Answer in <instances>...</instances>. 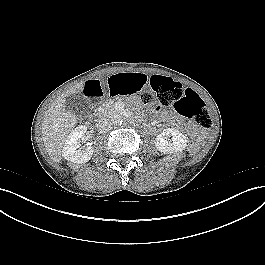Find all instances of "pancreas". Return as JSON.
<instances>
[{
    "label": "pancreas",
    "mask_w": 265,
    "mask_h": 265,
    "mask_svg": "<svg viewBox=\"0 0 265 265\" xmlns=\"http://www.w3.org/2000/svg\"><path fill=\"white\" fill-rule=\"evenodd\" d=\"M96 111L99 116H108L113 111V105L109 102L103 103Z\"/></svg>",
    "instance_id": "1"
}]
</instances>
